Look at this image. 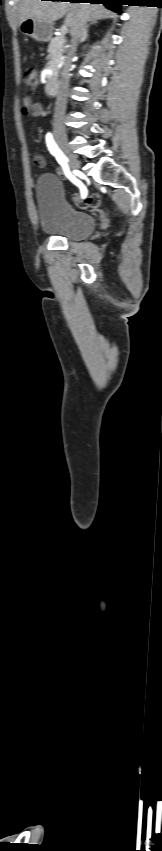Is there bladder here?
I'll return each mask as SVG.
<instances>
[{"label":"bladder","instance_id":"31cf9c89","mask_svg":"<svg viewBox=\"0 0 162 851\" xmlns=\"http://www.w3.org/2000/svg\"><path fill=\"white\" fill-rule=\"evenodd\" d=\"M35 197L39 224L44 233L80 241L94 231L95 218L76 209L65 198L62 183L54 174H43L38 178Z\"/></svg>","mask_w":162,"mask_h":851}]
</instances>
